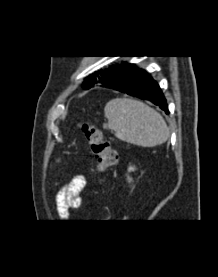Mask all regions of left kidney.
I'll return each instance as SVG.
<instances>
[{"label":"left kidney","instance_id":"1","mask_svg":"<svg viewBox=\"0 0 218 277\" xmlns=\"http://www.w3.org/2000/svg\"><path fill=\"white\" fill-rule=\"evenodd\" d=\"M134 170H135V167L130 166V167L128 168V172H131V171H134ZM127 180H128V182H131V181H132V179H131L129 176H127Z\"/></svg>","mask_w":218,"mask_h":277}]
</instances>
